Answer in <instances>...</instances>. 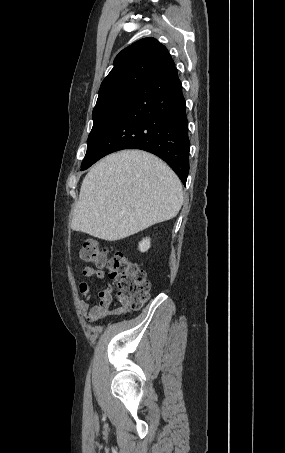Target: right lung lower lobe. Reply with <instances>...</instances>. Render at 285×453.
<instances>
[{
  "instance_id": "obj_1",
  "label": "right lung lower lobe",
  "mask_w": 285,
  "mask_h": 453,
  "mask_svg": "<svg viewBox=\"0 0 285 453\" xmlns=\"http://www.w3.org/2000/svg\"><path fill=\"white\" fill-rule=\"evenodd\" d=\"M189 148L186 103L177 69L173 66L135 92L91 165L118 150L141 149L163 159L185 185L189 173Z\"/></svg>"
}]
</instances>
